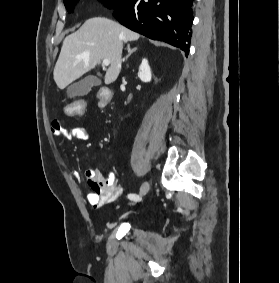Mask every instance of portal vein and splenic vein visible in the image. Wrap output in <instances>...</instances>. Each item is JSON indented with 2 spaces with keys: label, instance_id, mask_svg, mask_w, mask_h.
Returning a JSON list of instances; mask_svg holds the SVG:
<instances>
[{
  "label": "portal vein and splenic vein",
  "instance_id": "portal-vein-and-splenic-vein-1",
  "mask_svg": "<svg viewBox=\"0 0 280 283\" xmlns=\"http://www.w3.org/2000/svg\"><path fill=\"white\" fill-rule=\"evenodd\" d=\"M109 64H110V61L108 59H104L103 60V65L104 66H109Z\"/></svg>",
  "mask_w": 280,
  "mask_h": 283
}]
</instances>
